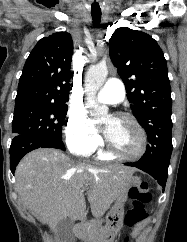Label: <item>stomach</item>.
<instances>
[{
  "label": "stomach",
  "instance_id": "1",
  "mask_svg": "<svg viewBox=\"0 0 187 242\" xmlns=\"http://www.w3.org/2000/svg\"><path fill=\"white\" fill-rule=\"evenodd\" d=\"M141 180L137 176H131L128 181V189L116 200L106 216L105 225H98L90 235L91 242H114L115 237L121 231L124 222V207L129 198V190L139 187Z\"/></svg>",
  "mask_w": 187,
  "mask_h": 242
}]
</instances>
